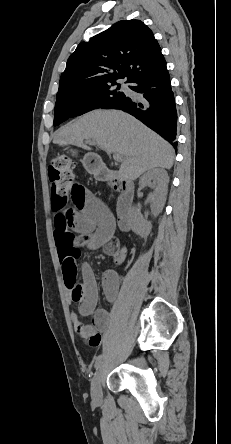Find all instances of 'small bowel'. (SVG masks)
Masks as SVG:
<instances>
[{
	"label": "small bowel",
	"mask_w": 231,
	"mask_h": 444,
	"mask_svg": "<svg viewBox=\"0 0 231 444\" xmlns=\"http://www.w3.org/2000/svg\"><path fill=\"white\" fill-rule=\"evenodd\" d=\"M52 210L54 238L65 286L70 300L79 304L78 311H71V320L80 340L98 346L102 333L110 326L111 316L104 309H96L98 288L94 272L88 264H84L81 270L84 292L80 297L75 296L77 267L76 264L72 266L69 260L76 261L80 247L92 250L101 248L111 256L123 254L119 241L114 237L113 216L101 200L78 182L68 198L57 200L52 197ZM102 286L106 298L110 302L115 301L120 289L117 272L105 271ZM89 315H92L91 324L83 321Z\"/></svg>",
	"instance_id": "1"
}]
</instances>
